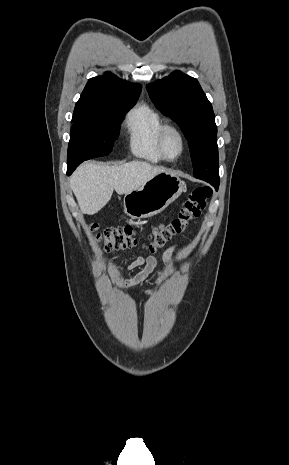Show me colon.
Returning a JSON list of instances; mask_svg holds the SVG:
<instances>
[{
  "label": "colon",
  "instance_id": "obj_1",
  "mask_svg": "<svg viewBox=\"0 0 289 465\" xmlns=\"http://www.w3.org/2000/svg\"><path fill=\"white\" fill-rule=\"evenodd\" d=\"M212 195L210 187H197L191 190L180 204L176 216L154 227L145 237L144 247L154 252L163 247L175 235L184 232L189 224L200 216ZM92 239L107 251L131 249L139 245L140 236L130 225L100 229L96 223L90 226ZM144 237V236H143Z\"/></svg>",
  "mask_w": 289,
  "mask_h": 465
}]
</instances>
